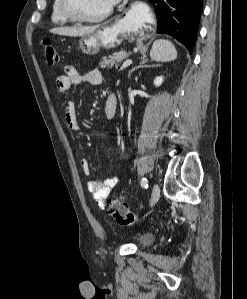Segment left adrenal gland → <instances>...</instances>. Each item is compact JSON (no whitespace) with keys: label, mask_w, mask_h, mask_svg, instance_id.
<instances>
[{"label":"left adrenal gland","mask_w":247,"mask_h":299,"mask_svg":"<svg viewBox=\"0 0 247 299\" xmlns=\"http://www.w3.org/2000/svg\"><path fill=\"white\" fill-rule=\"evenodd\" d=\"M147 62H148V60H146V59L143 58L142 61L140 62V64H139L138 66L132 68V69L129 71V73H128V77H130V75H131V73H132L133 71H135V70H137V69H139V68H143V67L148 68V67H157V66H158V65H147V64H146Z\"/></svg>","instance_id":"a2214340"}]
</instances>
